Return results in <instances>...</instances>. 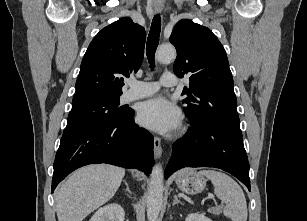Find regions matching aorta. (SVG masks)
<instances>
[{"label": "aorta", "mask_w": 307, "mask_h": 221, "mask_svg": "<svg viewBox=\"0 0 307 221\" xmlns=\"http://www.w3.org/2000/svg\"><path fill=\"white\" fill-rule=\"evenodd\" d=\"M160 63H170L176 58V50L171 45H162L156 52ZM164 174L161 165L156 164L151 172V181L147 195V218L156 221L163 203Z\"/></svg>", "instance_id": "1"}]
</instances>
